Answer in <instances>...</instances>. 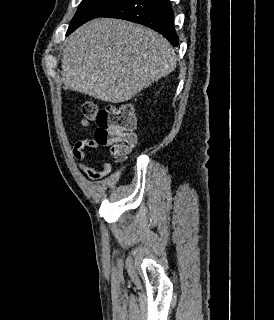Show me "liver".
Wrapping results in <instances>:
<instances>
[{"instance_id":"1","label":"liver","mask_w":274,"mask_h":320,"mask_svg":"<svg viewBox=\"0 0 274 320\" xmlns=\"http://www.w3.org/2000/svg\"><path fill=\"white\" fill-rule=\"evenodd\" d=\"M61 68L64 90L102 102H128L175 70L171 44L150 28L97 18L65 40Z\"/></svg>"}]
</instances>
